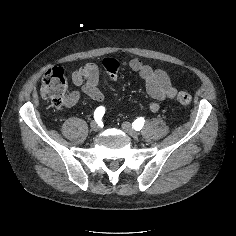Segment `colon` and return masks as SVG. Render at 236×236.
<instances>
[{
  "instance_id": "colon-1",
  "label": "colon",
  "mask_w": 236,
  "mask_h": 236,
  "mask_svg": "<svg viewBox=\"0 0 236 236\" xmlns=\"http://www.w3.org/2000/svg\"><path fill=\"white\" fill-rule=\"evenodd\" d=\"M68 79L61 68L48 70L41 81V93L44 97L50 99L56 108H63L67 105ZM176 100L182 105H189L192 96L184 91L176 95Z\"/></svg>"
}]
</instances>
